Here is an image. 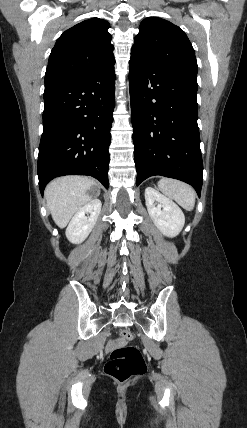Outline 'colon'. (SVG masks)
<instances>
[{
    "mask_svg": "<svg viewBox=\"0 0 247 428\" xmlns=\"http://www.w3.org/2000/svg\"><path fill=\"white\" fill-rule=\"evenodd\" d=\"M131 339V332L123 331L117 340L109 344L111 353L105 365V372L118 382H125L146 370L140 350L128 345Z\"/></svg>",
    "mask_w": 247,
    "mask_h": 428,
    "instance_id": "5ec220e1",
    "label": "colon"
}]
</instances>
